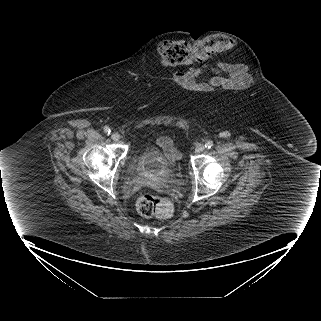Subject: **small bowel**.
<instances>
[{
    "mask_svg": "<svg viewBox=\"0 0 321 321\" xmlns=\"http://www.w3.org/2000/svg\"><path fill=\"white\" fill-rule=\"evenodd\" d=\"M201 76L203 77L199 80ZM174 78L192 91H197L202 87L201 91L205 95L218 94L219 86H224L226 91L232 92L235 88L241 90L244 87H251L256 82L255 77L248 74L247 69L242 65L224 62L202 65L190 69L187 73H176ZM158 145L168 157L176 158L177 152L169 137H161Z\"/></svg>",
    "mask_w": 321,
    "mask_h": 321,
    "instance_id": "1",
    "label": "small bowel"
}]
</instances>
